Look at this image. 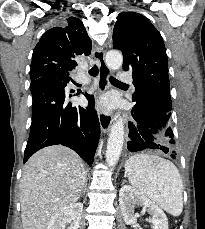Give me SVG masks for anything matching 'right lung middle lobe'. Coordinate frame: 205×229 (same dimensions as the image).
<instances>
[{
	"label": "right lung middle lobe",
	"instance_id": "dd1d6c3e",
	"mask_svg": "<svg viewBox=\"0 0 205 229\" xmlns=\"http://www.w3.org/2000/svg\"><path fill=\"white\" fill-rule=\"evenodd\" d=\"M56 78L68 83L69 80H70V77L69 76H63V75H57Z\"/></svg>",
	"mask_w": 205,
	"mask_h": 229
}]
</instances>
